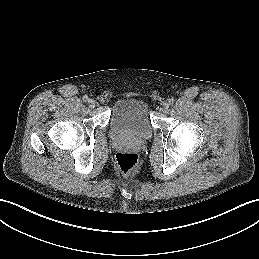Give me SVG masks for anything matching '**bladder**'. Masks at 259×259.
Returning <instances> with one entry per match:
<instances>
[{
    "instance_id": "31cf9c89",
    "label": "bladder",
    "mask_w": 259,
    "mask_h": 259,
    "mask_svg": "<svg viewBox=\"0 0 259 259\" xmlns=\"http://www.w3.org/2000/svg\"><path fill=\"white\" fill-rule=\"evenodd\" d=\"M109 127L115 135L149 137L153 126L148 103L138 97L122 98L111 112Z\"/></svg>"
}]
</instances>
